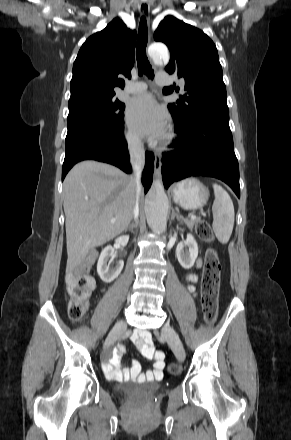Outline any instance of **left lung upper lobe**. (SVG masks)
I'll use <instances>...</instances> for the list:
<instances>
[{
	"label": "left lung upper lobe",
	"instance_id": "obj_1",
	"mask_svg": "<svg viewBox=\"0 0 291 440\" xmlns=\"http://www.w3.org/2000/svg\"><path fill=\"white\" fill-rule=\"evenodd\" d=\"M154 39L164 42L171 52L166 71L183 79L185 95L168 105L175 125H186L201 115L229 114L222 67L213 41L200 29L173 16L160 22ZM174 90L179 91V87L173 85L163 91L170 94Z\"/></svg>",
	"mask_w": 291,
	"mask_h": 440
}]
</instances>
